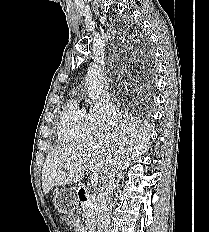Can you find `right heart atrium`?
<instances>
[{
    "instance_id": "obj_1",
    "label": "right heart atrium",
    "mask_w": 209,
    "mask_h": 232,
    "mask_svg": "<svg viewBox=\"0 0 209 232\" xmlns=\"http://www.w3.org/2000/svg\"><path fill=\"white\" fill-rule=\"evenodd\" d=\"M89 117L94 132L99 133L117 122L119 112L109 97H102L91 105Z\"/></svg>"
}]
</instances>
